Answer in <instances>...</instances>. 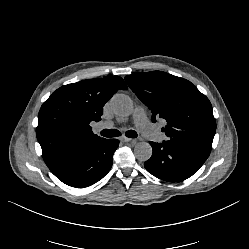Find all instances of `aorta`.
Here are the masks:
<instances>
[{
    "label": "aorta",
    "mask_w": 249,
    "mask_h": 249,
    "mask_svg": "<svg viewBox=\"0 0 249 249\" xmlns=\"http://www.w3.org/2000/svg\"><path fill=\"white\" fill-rule=\"evenodd\" d=\"M113 112L120 116H129L134 109L131 98L125 94H115L110 101ZM134 155L139 161H147L152 156V147L147 142H139L135 145Z\"/></svg>",
    "instance_id": "1"
}]
</instances>
